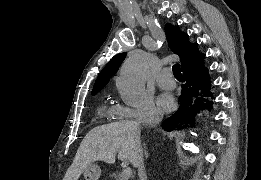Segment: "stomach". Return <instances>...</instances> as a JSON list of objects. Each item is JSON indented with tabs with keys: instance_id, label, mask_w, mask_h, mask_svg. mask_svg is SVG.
<instances>
[{
	"instance_id": "1",
	"label": "stomach",
	"mask_w": 261,
	"mask_h": 180,
	"mask_svg": "<svg viewBox=\"0 0 261 180\" xmlns=\"http://www.w3.org/2000/svg\"><path fill=\"white\" fill-rule=\"evenodd\" d=\"M83 174L85 180H98L101 176V169L95 164H90L86 167Z\"/></svg>"
}]
</instances>
